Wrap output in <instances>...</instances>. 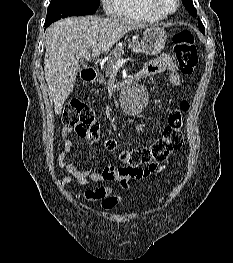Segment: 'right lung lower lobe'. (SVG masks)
<instances>
[{
    "label": "right lung lower lobe",
    "mask_w": 233,
    "mask_h": 263,
    "mask_svg": "<svg viewBox=\"0 0 233 263\" xmlns=\"http://www.w3.org/2000/svg\"><path fill=\"white\" fill-rule=\"evenodd\" d=\"M51 23H52V22L46 21V22H45V27L49 26Z\"/></svg>",
    "instance_id": "98d812e1"
}]
</instances>
